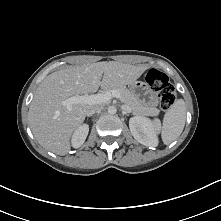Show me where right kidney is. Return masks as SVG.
<instances>
[{"instance_id":"1","label":"right kidney","mask_w":221,"mask_h":221,"mask_svg":"<svg viewBox=\"0 0 221 221\" xmlns=\"http://www.w3.org/2000/svg\"><path fill=\"white\" fill-rule=\"evenodd\" d=\"M89 132L88 124L80 125L72 135V146L73 148H79L86 140Z\"/></svg>"}]
</instances>
